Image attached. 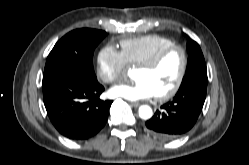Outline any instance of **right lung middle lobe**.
Here are the masks:
<instances>
[{"label":"right lung middle lobe","mask_w":249,"mask_h":165,"mask_svg":"<svg viewBox=\"0 0 249 165\" xmlns=\"http://www.w3.org/2000/svg\"><path fill=\"white\" fill-rule=\"evenodd\" d=\"M105 35V31L88 28L69 32L48 55L44 72L59 71L88 82H96L93 52Z\"/></svg>","instance_id":"obj_1"}]
</instances>
